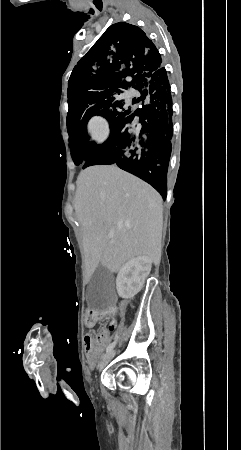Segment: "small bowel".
<instances>
[{
  "instance_id": "obj_1",
  "label": "small bowel",
  "mask_w": 241,
  "mask_h": 450,
  "mask_svg": "<svg viewBox=\"0 0 241 450\" xmlns=\"http://www.w3.org/2000/svg\"><path fill=\"white\" fill-rule=\"evenodd\" d=\"M119 317L122 315L120 312L117 314ZM88 327V326H87ZM115 327V321H112L108 327H103L98 333H90L84 338L85 351L87 354L88 362L91 367L97 362L101 352V347H95V343H100L105 345L108 340V332L113 330Z\"/></svg>"
}]
</instances>
